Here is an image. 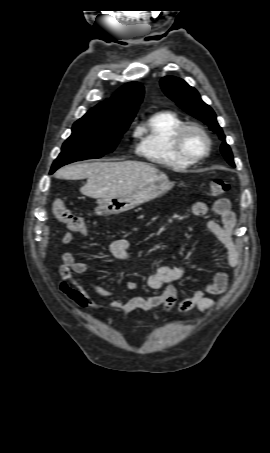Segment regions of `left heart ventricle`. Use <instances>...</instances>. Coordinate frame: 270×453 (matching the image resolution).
Segmentation results:
<instances>
[{
    "label": "left heart ventricle",
    "mask_w": 270,
    "mask_h": 453,
    "mask_svg": "<svg viewBox=\"0 0 270 453\" xmlns=\"http://www.w3.org/2000/svg\"><path fill=\"white\" fill-rule=\"evenodd\" d=\"M184 147L191 155H200L205 151L206 140L197 132H188L184 138Z\"/></svg>",
    "instance_id": "b2bd125f"
}]
</instances>
